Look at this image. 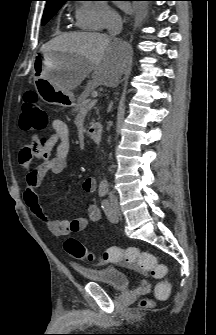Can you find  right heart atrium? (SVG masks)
I'll return each instance as SVG.
<instances>
[{
  "label": "right heart atrium",
  "mask_w": 216,
  "mask_h": 335,
  "mask_svg": "<svg viewBox=\"0 0 216 335\" xmlns=\"http://www.w3.org/2000/svg\"><path fill=\"white\" fill-rule=\"evenodd\" d=\"M79 27L88 30L101 31L108 23L120 21L116 11L102 2L85 1L77 5L75 10Z\"/></svg>",
  "instance_id": "d8ad5b80"
}]
</instances>
